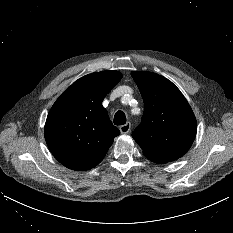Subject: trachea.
Masks as SVG:
<instances>
[{
    "label": "trachea",
    "mask_w": 233,
    "mask_h": 233,
    "mask_svg": "<svg viewBox=\"0 0 233 233\" xmlns=\"http://www.w3.org/2000/svg\"><path fill=\"white\" fill-rule=\"evenodd\" d=\"M126 123V115L123 111H117L114 116L115 125H124Z\"/></svg>",
    "instance_id": "1"
}]
</instances>
